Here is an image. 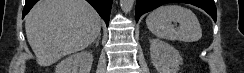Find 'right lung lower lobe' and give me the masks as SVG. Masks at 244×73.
<instances>
[{
	"label": "right lung lower lobe",
	"mask_w": 244,
	"mask_h": 73,
	"mask_svg": "<svg viewBox=\"0 0 244 73\" xmlns=\"http://www.w3.org/2000/svg\"><path fill=\"white\" fill-rule=\"evenodd\" d=\"M37 1H39V0H26L25 6L23 9L22 18H24V16L30 11V9L34 6V4ZM86 1H88L95 8V10L104 19V21L106 22V25L108 26L112 0H86Z\"/></svg>",
	"instance_id": "98d812e1"
}]
</instances>
